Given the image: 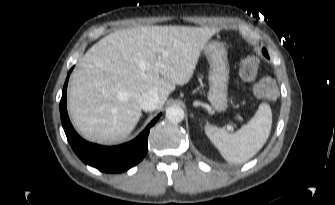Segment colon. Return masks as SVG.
<instances>
[{
  "mask_svg": "<svg viewBox=\"0 0 335 205\" xmlns=\"http://www.w3.org/2000/svg\"><path fill=\"white\" fill-rule=\"evenodd\" d=\"M258 71L259 61L256 57L249 56L241 60L239 64V77L242 81H253ZM253 92L259 98L274 99L278 95V88L275 80L270 76H266L254 84Z\"/></svg>",
  "mask_w": 335,
  "mask_h": 205,
  "instance_id": "obj_1",
  "label": "colon"
}]
</instances>
